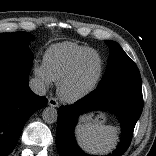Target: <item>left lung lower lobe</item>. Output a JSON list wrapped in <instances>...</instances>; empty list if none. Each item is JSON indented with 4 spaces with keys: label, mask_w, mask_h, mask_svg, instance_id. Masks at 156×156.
Listing matches in <instances>:
<instances>
[{
    "label": "left lung lower lobe",
    "mask_w": 156,
    "mask_h": 156,
    "mask_svg": "<svg viewBox=\"0 0 156 156\" xmlns=\"http://www.w3.org/2000/svg\"><path fill=\"white\" fill-rule=\"evenodd\" d=\"M142 108L141 86L131 84L99 87L73 105L60 107L56 132V145L60 156H91L77 146L73 133L78 115L91 110L113 111L119 117L122 124L121 142L113 154L107 156H121L131 143Z\"/></svg>",
    "instance_id": "obj_1"
}]
</instances>
